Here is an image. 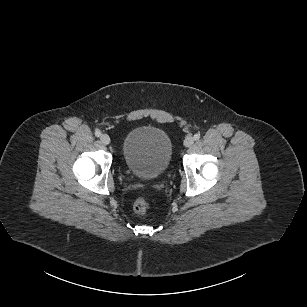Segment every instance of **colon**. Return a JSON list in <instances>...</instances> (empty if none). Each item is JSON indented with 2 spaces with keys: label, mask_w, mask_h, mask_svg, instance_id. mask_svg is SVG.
Returning <instances> with one entry per match:
<instances>
[{
  "label": "colon",
  "mask_w": 307,
  "mask_h": 307,
  "mask_svg": "<svg viewBox=\"0 0 307 307\" xmlns=\"http://www.w3.org/2000/svg\"><path fill=\"white\" fill-rule=\"evenodd\" d=\"M151 208L150 201L145 197H139L134 203V211L138 214H145Z\"/></svg>",
  "instance_id": "obj_1"
}]
</instances>
